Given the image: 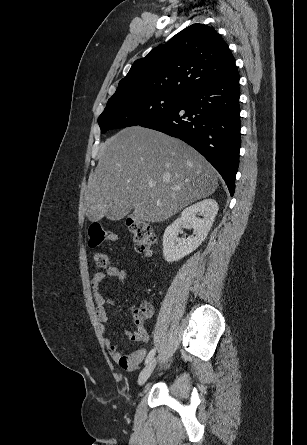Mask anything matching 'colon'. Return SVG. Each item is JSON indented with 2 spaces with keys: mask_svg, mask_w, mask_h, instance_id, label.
<instances>
[{
  "mask_svg": "<svg viewBox=\"0 0 307 445\" xmlns=\"http://www.w3.org/2000/svg\"><path fill=\"white\" fill-rule=\"evenodd\" d=\"M128 228L133 236V241L137 252L149 255L152 246L156 241V235L153 229L145 222L129 218L127 222ZM117 236L114 232L106 230L100 223L94 222L88 229V245L92 248L97 247L106 242L116 241ZM94 262L98 269L107 270L112 267L111 257L104 251H97L94 254ZM152 306L148 303L143 304L132 312V317L137 330L133 334V340L145 341L147 333L143 328V323L152 314Z\"/></svg>",
  "mask_w": 307,
  "mask_h": 445,
  "instance_id": "1",
  "label": "colon"
}]
</instances>
